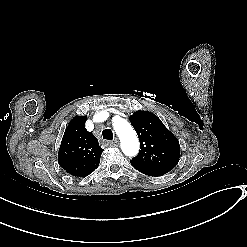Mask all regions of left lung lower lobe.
Listing matches in <instances>:
<instances>
[{
    "label": "left lung lower lobe",
    "instance_id": "1",
    "mask_svg": "<svg viewBox=\"0 0 247 247\" xmlns=\"http://www.w3.org/2000/svg\"><path fill=\"white\" fill-rule=\"evenodd\" d=\"M139 172L148 175V176H162L163 173L158 172V171H154V170H148V169H143V168H139V167H135Z\"/></svg>",
    "mask_w": 247,
    "mask_h": 247
}]
</instances>
